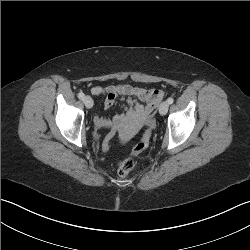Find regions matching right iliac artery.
<instances>
[{
    "mask_svg": "<svg viewBox=\"0 0 250 250\" xmlns=\"http://www.w3.org/2000/svg\"><path fill=\"white\" fill-rule=\"evenodd\" d=\"M78 97H79L80 99H83V98H84V93H82V92L78 93Z\"/></svg>",
    "mask_w": 250,
    "mask_h": 250,
    "instance_id": "82829eb1",
    "label": "right iliac artery"
}]
</instances>
